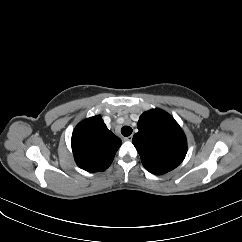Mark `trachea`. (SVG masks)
<instances>
[{"label": "trachea", "mask_w": 242, "mask_h": 242, "mask_svg": "<svg viewBox=\"0 0 242 242\" xmlns=\"http://www.w3.org/2000/svg\"><path fill=\"white\" fill-rule=\"evenodd\" d=\"M121 133L123 136L128 137L132 133V128L130 126H123L121 129Z\"/></svg>", "instance_id": "3493384b"}]
</instances>
